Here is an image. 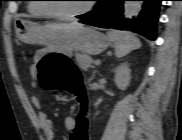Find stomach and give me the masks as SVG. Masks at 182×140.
I'll return each mask as SVG.
<instances>
[{
    "label": "stomach",
    "instance_id": "1",
    "mask_svg": "<svg viewBox=\"0 0 182 140\" xmlns=\"http://www.w3.org/2000/svg\"><path fill=\"white\" fill-rule=\"evenodd\" d=\"M15 33L22 42L44 44L50 51L67 56L73 50L97 55L110 45V39L94 27L48 31L34 22L18 19L15 22Z\"/></svg>",
    "mask_w": 182,
    "mask_h": 140
}]
</instances>
